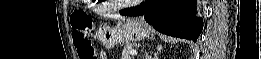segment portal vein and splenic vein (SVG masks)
<instances>
[{
  "instance_id": "18ae733b",
  "label": "portal vein and splenic vein",
  "mask_w": 261,
  "mask_h": 59,
  "mask_svg": "<svg viewBox=\"0 0 261 59\" xmlns=\"http://www.w3.org/2000/svg\"><path fill=\"white\" fill-rule=\"evenodd\" d=\"M130 54H131V55H135V54H137V51H136V50H131V51H130Z\"/></svg>"
}]
</instances>
